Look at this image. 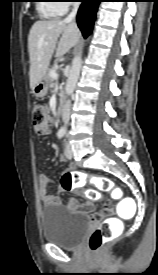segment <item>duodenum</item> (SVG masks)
Here are the masks:
<instances>
[{"mask_svg":"<svg viewBox=\"0 0 158 275\" xmlns=\"http://www.w3.org/2000/svg\"><path fill=\"white\" fill-rule=\"evenodd\" d=\"M64 103V95H60L56 105V112L60 114Z\"/></svg>","mask_w":158,"mask_h":275,"instance_id":"obj_1","label":"duodenum"}]
</instances>
